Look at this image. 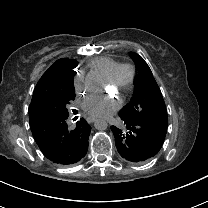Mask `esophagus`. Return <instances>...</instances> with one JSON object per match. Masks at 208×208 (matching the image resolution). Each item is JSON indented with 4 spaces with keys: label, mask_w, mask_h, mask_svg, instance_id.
<instances>
[{
    "label": "esophagus",
    "mask_w": 208,
    "mask_h": 208,
    "mask_svg": "<svg viewBox=\"0 0 208 208\" xmlns=\"http://www.w3.org/2000/svg\"><path fill=\"white\" fill-rule=\"evenodd\" d=\"M86 120H87L88 123H93V122L96 121V118L93 117V116H89V117L86 118Z\"/></svg>",
    "instance_id": "1"
}]
</instances>
